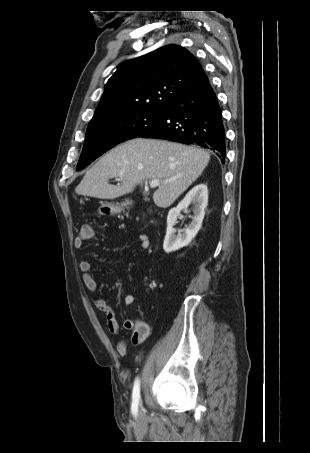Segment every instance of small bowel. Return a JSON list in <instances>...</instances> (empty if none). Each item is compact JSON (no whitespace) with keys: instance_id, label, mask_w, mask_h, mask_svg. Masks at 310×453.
I'll use <instances>...</instances> for the list:
<instances>
[{"instance_id":"small-bowel-1","label":"small bowel","mask_w":310,"mask_h":453,"mask_svg":"<svg viewBox=\"0 0 310 453\" xmlns=\"http://www.w3.org/2000/svg\"><path fill=\"white\" fill-rule=\"evenodd\" d=\"M86 238L82 235L77 236L74 239V247L79 249L84 245ZM139 240L141 248L146 250L149 247V239L146 234H140ZM80 271L82 272V280L88 291L95 293L97 291V282L92 275V264L88 260H82L79 264ZM124 304L130 306L134 303V296L130 293L126 294L123 298ZM95 306L97 310L104 314L105 323L108 331L111 334H118L120 331V325L116 319L115 313L110 305L102 298L95 299ZM123 327L127 330H132L131 341L134 345H139L144 342L150 334V327L147 322L137 319L130 320L126 319L123 321ZM116 350L119 356H125L127 354V342L126 340H120L116 346Z\"/></svg>"}]
</instances>
